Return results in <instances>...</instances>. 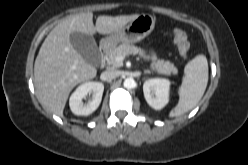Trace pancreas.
<instances>
[{
	"label": "pancreas",
	"mask_w": 248,
	"mask_h": 165,
	"mask_svg": "<svg viewBox=\"0 0 248 165\" xmlns=\"http://www.w3.org/2000/svg\"><path fill=\"white\" fill-rule=\"evenodd\" d=\"M130 54H139L144 59H147L145 51L135 45L130 44H121L118 47L114 48L109 54L107 58V63L113 68H118L122 66V62L116 60L118 56L126 57ZM151 69L157 71L160 74L164 75H176L178 73V69L175 67L173 63L170 61L158 60L157 62L151 65Z\"/></svg>",
	"instance_id": "obj_1"
}]
</instances>
